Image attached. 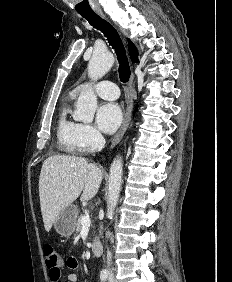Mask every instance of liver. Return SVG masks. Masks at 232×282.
<instances>
[{
    "label": "liver",
    "mask_w": 232,
    "mask_h": 282,
    "mask_svg": "<svg viewBox=\"0 0 232 282\" xmlns=\"http://www.w3.org/2000/svg\"><path fill=\"white\" fill-rule=\"evenodd\" d=\"M102 171L85 158L68 155L48 157L39 176V197L44 227L47 232L60 211L80 195L81 201L92 199L102 182Z\"/></svg>",
    "instance_id": "1"
}]
</instances>
